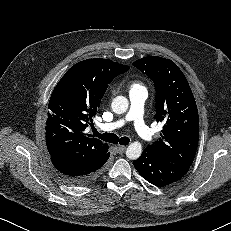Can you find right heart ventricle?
<instances>
[{
	"mask_svg": "<svg viewBox=\"0 0 231 231\" xmlns=\"http://www.w3.org/2000/svg\"><path fill=\"white\" fill-rule=\"evenodd\" d=\"M139 89H145L140 82L135 81L130 84V92Z\"/></svg>",
	"mask_w": 231,
	"mask_h": 231,
	"instance_id": "obj_1",
	"label": "right heart ventricle"
}]
</instances>
